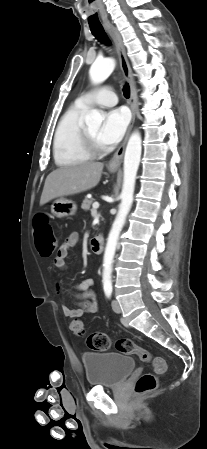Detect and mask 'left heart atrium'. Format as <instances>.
Instances as JSON below:
<instances>
[{
  "label": "left heart atrium",
  "instance_id": "left-heart-atrium-1",
  "mask_svg": "<svg viewBox=\"0 0 207 449\" xmlns=\"http://www.w3.org/2000/svg\"><path fill=\"white\" fill-rule=\"evenodd\" d=\"M130 116L125 108L109 111L99 132V140L103 145H114L123 137L129 124Z\"/></svg>",
  "mask_w": 207,
  "mask_h": 449
}]
</instances>
